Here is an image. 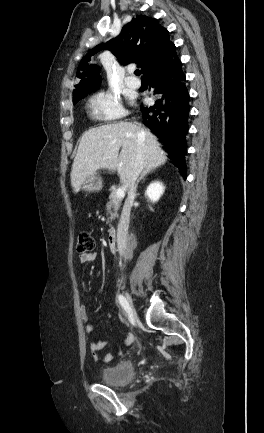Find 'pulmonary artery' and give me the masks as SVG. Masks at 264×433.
<instances>
[{"mask_svg":"<svg viewBox=\"0 0 264 433\" xmlns=\"http://www.w3.org/2000/svg\"><path fill=\"white\" fill-rule=\"evenodd\" d=\"M126 84L128 87L133 88V89H137L141 85L140 81L135 77H128L126 79Z\"/></svg>","mask_w":264,"mask_h":433,"instance_id":"pulmonary-artery-1","label":"pulmonary artery"}]
</instances>
